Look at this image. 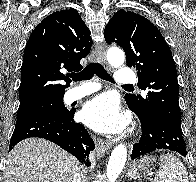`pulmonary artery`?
I'll return each mask as SVG.
<instances>
[{"label": "pulmonary artery", "instance_id": "pulmonary-artery-1", "mask_svg": "<svg viewBox=\"0 0 196 182\" xmlns=\"http://www.w3.org/2000/svg\"><path fill=\"white\" fill-rule=\"evenodd\" d=\"M115 80L119 85H131L136 81V74L130 69L121 68L117 71ZM99 88L97 83L86 82L78 87L70 89L68 97L71 101H74L96 92Z\"/></svg>", "mask_w": 196, "mask_h": 182}]
</instances>
